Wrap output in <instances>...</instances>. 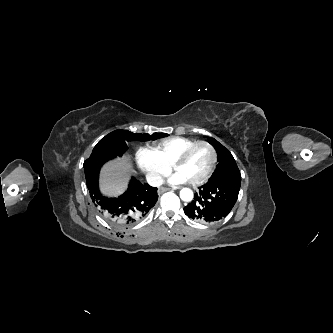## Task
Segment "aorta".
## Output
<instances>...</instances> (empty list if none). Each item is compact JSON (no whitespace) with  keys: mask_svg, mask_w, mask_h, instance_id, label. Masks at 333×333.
I'll return each instance as SVG.
<instances>
[{"mask_svg":"<svg viewBox=\"0 0 333 333\" xmlns=\"http://www.w3.org/2000/svg\"><path fill=\"white\" fill-rule=\"evenodd\" d=\"M180 198L186 202L191 201L193 199V191L189 188H183L180 191Z\"/></svg>","mask_w":333,"mask_h":333,"instance_id":"762f6f07","label":"aorta"}]
</instances>
